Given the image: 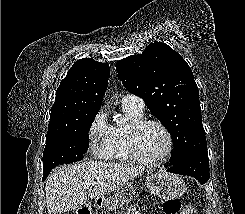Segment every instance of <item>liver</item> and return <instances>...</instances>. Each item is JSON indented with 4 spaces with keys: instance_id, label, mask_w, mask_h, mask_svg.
<instances>
[{
    "instance_id": "1",
    "label": "liver",
    "mask_w": 245,
    "mask_h": 214,
    "mask_svg": "<svg viewBox=\"0 0 245 214\" xmlns=\"http://www.w3.org/2000/svg\"><path fill=\"white\" fill-rule=\"evenodd\" d=\"M141 173L143 169L139 167L100 161L58 167L45 185L48 214L76 210L86 203L87 197L101 198ZM86 184H93V188Z\"/></svg>"
}]
</instances>
